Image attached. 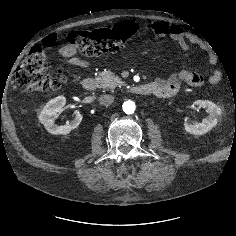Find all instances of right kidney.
Masks as SVG:
<instances>
[{
	"label": "right kidney",
	"instance_id": "ca27d5eb",
	"mask_svg": "<svg viewBox=\"0 0 236 236\" xmlns=\"http://www.w3.org/2000/svg\"><path fill=\"white\" fill-rule=\"evenodd\" d=\"M66 103L64 96H58L51 101H49L40 113L39 120L44 125L46 130L51 134H62L66 135L71 132V130L77 128L82 121V115L79 112L75 113V118L67 122L65 125L58 126L55 124L54 116L62 111Z\"/></svg>",
	"mask_w": 236,
	"mask_h": 236
}]
</instances>
